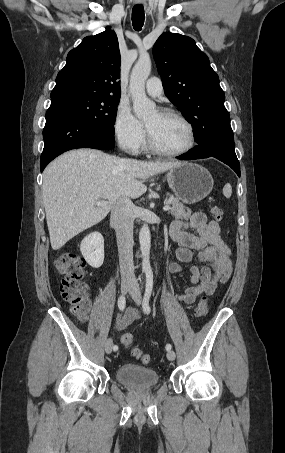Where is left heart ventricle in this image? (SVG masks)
<instances>
[{
    "mask_svg": "<svg viewBox=\"0 0 285 453\" xmlns=\"http://www.w3.org/2000/svg\"><path fill=\"white\" fill-rule=\"evenodd\" d=\"M145 126L155 143L162 149L178 151L189 142L188 129L177 118L154 112L145 120Z\"/></svg>",
    "mask_w": 285,
    "mask_h": 453,
    "instance_id": "b2bd125f",
    "label": "left heart ventricle"
}]
</instances>
